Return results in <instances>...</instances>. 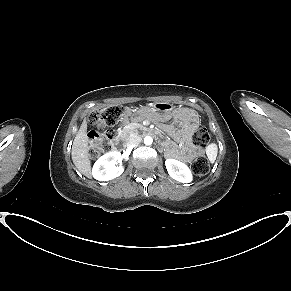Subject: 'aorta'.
<instances>
[{"mask_svg":"<svg viewBox=\"0 0 291 291\" xmlns=\"http://www.w3.org/2000/svg\"><path fill=\"white\" fill-rule=\"evenodd\" d=\"M152 143H153V138L151 136H145L144 144L145 145H151Z\"/></svg>","mask_w":291,"mask_h":291,"instance_id":"762f6f07","label":"aorta"}]
</instances>
